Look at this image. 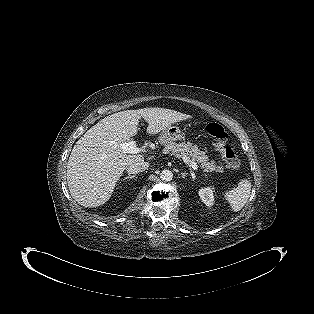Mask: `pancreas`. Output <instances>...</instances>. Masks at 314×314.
<instances>
[{
  "mask_svg": "<svg viewBox=\"0 0 314 314\" xmlns=\"http://www.w3.org/2000/svg\"><path fill=\"white\" fill-rule=\"evenodd\" d=\"M163 145L164 153L175 155L178 158L186 157L188 159V164H190V161L197 162L205 172H220L222 170V167L218 166L214 160L209 162L205 152L199 150L198 146L193 145L191 142L175 143L173 141H168Z\"/></svg>",
  "mask_w": 314,
  "mask_h": 314,
  "instance_id": "obj_1",
  "label": "pancreas"
}]
</instances>
